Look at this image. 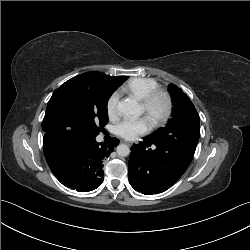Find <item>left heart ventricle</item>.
<instances>
[{"mask_svg": "<svg viewBox=\"0 0 250 250\" xmlns=\"http://www.w3.org/2000/svg\"><path fill=\"white\" fill-rule=\"evenodd\" d=\"M162 110H163V101L161 99H158L154 104L153 112L155 114H159L162 112Z\"/></svg>", "mask_w": 250, "mask_h": 250, "instance_id": "left-heart-ventricle-1", "label": "left heart ventricle"}]
</instances>
